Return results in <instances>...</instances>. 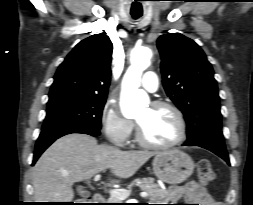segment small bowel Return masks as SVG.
I'll return each mask as SVG.
<instances>
[{"label": "small bowel", "mask_w": 253, "mask_h": 205, "mask_svg": "<svg viewBox=\"0 0 253 205\" xmlns=\"http://www.w3.org/2000/svg\"><path fill=\"white\" fill-rule=\"evenodd\" d=\"M172 198L174 200L185 198L189 202L196 203L191 205H220L204 186L195 181L188 182L185 186L174 189Z\"/></svg>", "instance_id": "c3829d8e"}]
</instances>
